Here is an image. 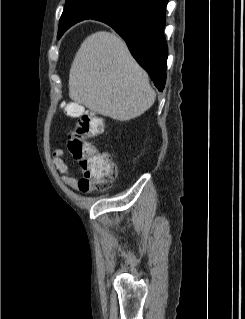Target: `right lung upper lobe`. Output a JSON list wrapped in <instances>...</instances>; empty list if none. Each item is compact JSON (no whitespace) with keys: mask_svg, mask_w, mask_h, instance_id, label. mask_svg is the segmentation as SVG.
I'll return each instance as SVG.
<instances>
[{"mask_svg":"<svg viewBox=\"0 0 245 319\" xmlns=\"http://www.w3.org/2000/svg\"><path fill=\"white\" fill-rule=\"evenodd\" d=\"M84 0H66L63 14L60 18L59 29L65 28V31L73 24L94 16L81 7L80 2Z\"/></svg>","mask_w":245,"mask_h":319,"instance_id":"1","label":"right lung upper lobe"}]
</instances>
